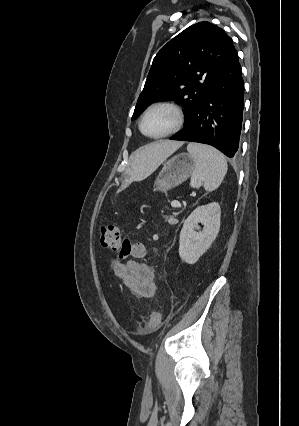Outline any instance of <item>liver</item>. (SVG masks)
I'll use <instances>...</instances> for the list:
<instances>
[{"mask_svg": "<svg viewBox=\"0 0 299 426\" xmlns=\"http://www.w3.org/2000/svg\"><path fill=\"white\" fill-rule=\"evenodd\" d=\"M182 145L180 141L161 140L139 148L131 156V176L138 178L150 175Z\"/></svg>", "mask_w": 299, "mask_h": 426, "instance_id": "obj_1", "label": "liver"}]
</instances>
